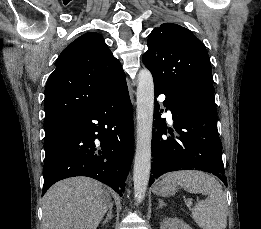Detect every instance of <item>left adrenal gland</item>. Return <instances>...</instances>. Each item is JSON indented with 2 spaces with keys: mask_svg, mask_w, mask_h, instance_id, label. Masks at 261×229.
<instances>
[{
  "mask_svg": "<svg viewBox=\"0 0 261 229\" xmlns=\"http://www.w3.org/2000/svg\"><path fill=\"white\" fill-rule=\"evenodd\" d=\"M158 201H159V209H162V207H167V205L163 203L162 199H158Z\"/></svg>",
  "mask_w": 261,
  "mask_h": 229,
  "instance_id": "1",
  "label": "left adrenal gland"
}]
</instances>
